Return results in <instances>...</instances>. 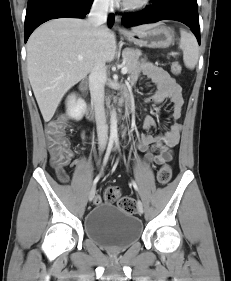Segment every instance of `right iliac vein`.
Segmentation results:
<instances>
[{"label":"right iliac vein","mask_w":231,"mask_h":281,"mask_svg":"<svg viewBox=\"0 0 231 281\" xmlns=\"http://www.w3.org/2000/svg\"><path fill=\"white\" fill-rule=\"evenodd\" d=\"M94 196H95V187L93 186V187L91 188V190L89 191V195H88L89 201H92L93 198H94Z\"/></svg>","instance_id":"63e3f726"}]
</instances>
